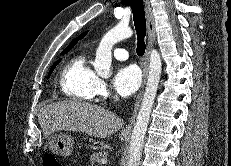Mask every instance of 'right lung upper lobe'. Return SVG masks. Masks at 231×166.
Here are the masks:
<instances>
[{
  "instance_id": "1",
  "label": "right lung upper lobe",
  "mask_w": 231,
  "mask_h": 166,
  "mask_svg": "<svg viewBox=\"0 0 231 166\" xmlns=\"http://www.w3.org/2000/svg\"><path fill=\"white\" fill-rule=\"evenodd\" d=\"M88 31L80 34L76 39H74L66 48L63 52H69L74 46L75 44L78 42V40L82 39L86 34H87ZM62 52V53H63Z\"/></svg>"
}]
</instances>
